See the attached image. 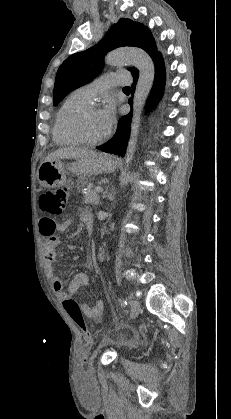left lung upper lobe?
<instances>
[{
	"instance_id": "obj_1",
	"label": "left lung upper lobe",
	"mask_w": 231,
	"mask_h": 419,
	"mask_svg": "<svg viewBox=\"0 0 231 419\" xmlns=\"http://www.w3.org/2000/svg\"><path fill=\"white\" fill-rule=\"evenodd\" d=\"M124 46H135L145 50L152 58L159 53L152 34L143 24L122 18L114 24L106 36L95 46L68 57L56 75L53 104L56 106L70 91L92 81L103 68L105 54ZM132 75L138 73L135 68Z\"/></svg>"
}]
</instances>
